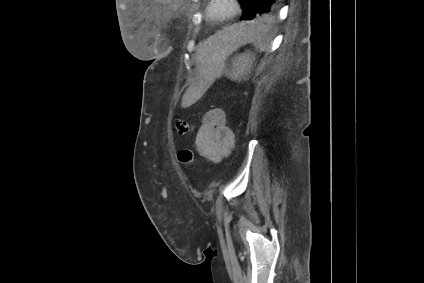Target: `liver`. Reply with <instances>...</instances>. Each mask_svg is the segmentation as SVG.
<instances>
[{"label":"liver","instance_id":"liver-1","mask_svg":"<svg viewBox=\"0 0 424 283\" xmlns=\"http://www.w3.org/2000/svg\"><path fill=\"white\" fill-rule=\"evenodd\" d=\"M250 30V29H249ZM246 30L241 25H234L224 29L222 32L211 37L203 44H199L197 54V67L199 69L200 81L197 84H203L202 77L206 80L213 78L215 68L218 66L222 58L229 52L234 50L246 33ZM222 46V49L219 47ZM197 84L191 85L182 98V107H188L196 99H198Z\"/></svg>","mask_w":424,"mask_h":283}]
</instances>
